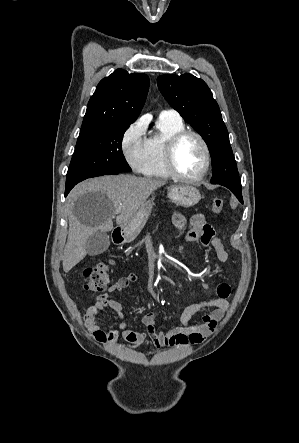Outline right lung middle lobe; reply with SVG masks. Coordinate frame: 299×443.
Here are the masks:
<instances>
[{
	"instance_id": "right-lung-middle-lobe-1",
	"label": "right lung middle lobe",
	"mask_w": 299,
	"mask_h": 443,
	"mask_svg": "<svg viewBox=\"0 0 299 443\" xmlns=\"http://www.w3.org/2000/svg\"><path fill=\"white\" fill-rule=\"evenodd\" d=\"M130 124H110L80 132L66 186L96 176L131 172L121 148L123 135Z\"/></svg>"
}]
</instances>
